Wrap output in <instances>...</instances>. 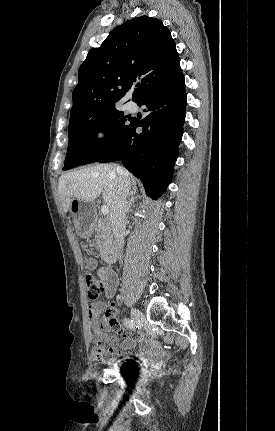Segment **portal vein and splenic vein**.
Instances as JSON below:
<instances>
[{"label": "portal vein and splenic vein", "mask_w": 275, "mask_h": 431, "mask_svg": "<svg viewBox=\"0 0 275 431\" xmlns=\"http://www.w3.org/2000/svg\"><path fill=\"white\" fill-rule=\"evenodd\" d=\"M101 213L102 214H108L109 213V207L107 205L101 206Z\"/></svg>", "instance_id": "portal-vein-and-splenic-vein-1"}]
</instances>
